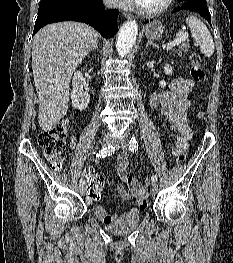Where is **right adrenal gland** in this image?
<instances>
[{"label": "right adrenal gland", "mask_w": 233, "mask_h": 263, "mask_svg": "<svg viewBox=\"0 0 233 263\" xmlns=\"http://www.w3.org/2000/svg\"><path fill=\"white\" fill-rule=\"evenodd\" d=\"M92 50H97L98 51V41H96L94 43V45L90 48L89 52H91Z\"/></svg>", "instance_id": "obj_1"}]
</instances>
